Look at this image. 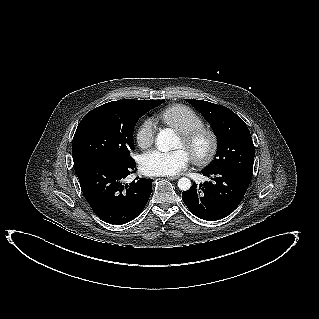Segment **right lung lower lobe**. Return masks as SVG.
<instances>
[{"instance_id":"right-lung-lower-lobe-1","label":"right lung lower lobe","mask_w":319,"mask_h":319,"mask_svg":"<svg viewBox=\"0 0 319 319\" xmlns=\"http://www.w3.org/2000/svg\"><path fill=\"white\" fill-rule=\"evenodd\" d=\"M132 159L126 163L110 159L88 161L75 168L81 190L93 212L105 222L125 224L144 209L152 190V179H124L135 172Z\"/></svg>"}]
</instances>
